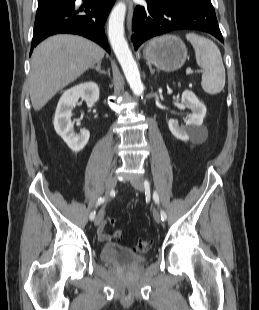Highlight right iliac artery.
I'll list each match as a JSON object with an SVG mask.
<instances>
[{
  "mask_svg": "<svg viewBox=\"0 0 259 310\" xmlns=\"http://www.w3.org/2000/svg\"><path fill=\"white\" fill-rule=\"evenodd\" d=\"M104 201H105V198H102V197L99 198L98 201H97V206L100 205V204H102ZM89 218H90V220H94V218H95V211H92V212L90 213Z\"/></svg>",
  "mask_w": 259,
  "mask_h": 310,
  "instance_id": "right-iliac-artery-1",
  "label": "right iliac artery"
}]
</instances>
